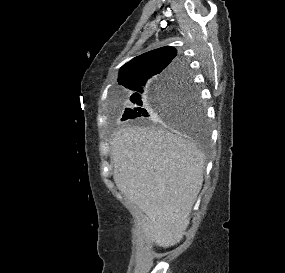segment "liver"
Segmentation results:
<instances>
[{"label": "liver", "instance_id": "liver-1", "mask_svg": "<svg viewBox=\"0 0 285 273\" xmlns=\"http://www.w3.org/2000/svg\"><path fill=\"white\" fill-rule=\"evenodd\" d=\"M112 158L117 188L149 219L147 236L165 248L179 243L203 184L205 155L173 132L124 126L112 139Z\"/></svg>", "mask_w": 285, "mask_h": 273}]
</instances>
